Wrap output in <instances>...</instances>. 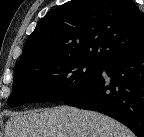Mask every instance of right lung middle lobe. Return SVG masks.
<instances>
[{
	"label": "right lung middle lobe",
	"mask_w": 144,
	"mask_h": 137,
	"mask_svg": "<svg viewBox=\"0 0 144 137\" xmlns=\"http://www.w3.org/2000/svg\"><path fill=\"white\" fill-rule=\"evenodd\" d=\"M103 65L82 58L38 61L15 67L8 105L65 101L97 80Z\"/></svg>",
	"instance_id": "1"
}]
</instances>
